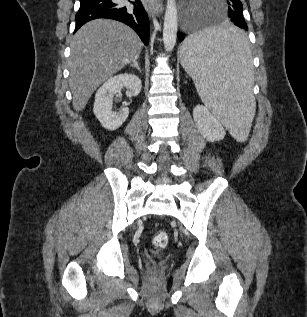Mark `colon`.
<instances>
[{
	"label": "colon",
	"instance_id": "1",
	"mask_svg": "<svg viewBox=\"0 0 307 317\" xmlns=\"http://www.w3.org/2000/svg\"><path fill=\"white\" fill-rule=\"evenodd\" d=\"M168 244V235L164 231L156 233L153 238V246L157 250L164 249Z\"/></svg>",
	"mask_w": 307,
	"mask_h": 317
}]
</instances>
